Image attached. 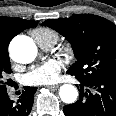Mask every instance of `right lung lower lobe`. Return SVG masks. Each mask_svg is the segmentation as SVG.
Listing matches in <instances>:
<instances>
[{
  "instance_id": "obj_1",
  "label": "right lung lower lobe",
  "mask_w": 116,
  "mask_h": 116,
  "mask_svg": "<svg viewBox=\"0 0 116 116\" xmlns=\"http://www.w3.org/2000/svg\"><path fill=\"white\" fill-rule=\"evenodd\" d=\"M35 92L36 87H25L16 103L10 100L8 94L0 96V116H28Z\"/></svg>"
}]
</instances>
